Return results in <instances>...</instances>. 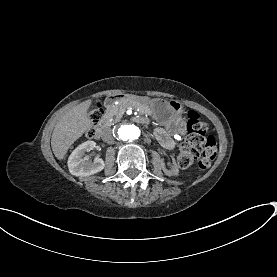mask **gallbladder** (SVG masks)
<instances>
[{
    "instance_id": "obj_1",
    "label": "gallbladder",
    "mask_w": 277,
    "mask_h": 277,
    "mask_svg": "<svg viewBox=\"0 0 277 277\" xmlns=\"http://www.w3.org/2000/svg\"><path fill=\"white\" fill-rule=\"evenodd\" d=\"M96 102L99 104L101 101L98 99Z\"/></svg>"
}]
</instances>
